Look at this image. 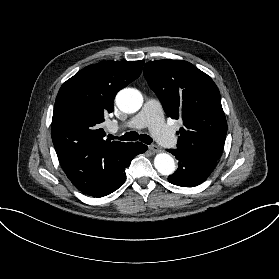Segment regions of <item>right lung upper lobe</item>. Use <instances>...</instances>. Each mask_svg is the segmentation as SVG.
<instances>
[{"label":"right lung upper lobe","instance_id":"obj_1","mask_svg":"<svg viewBox=\"0 0 279 279\" xmlns=\"http://www.w3.org/2000/svg\"><path fill=\"white\" fill-rule=\"evenodd\" d=\"M144 61L89 65L60 88L52 117V141L68 179L83 194H97L119 171L134 143L106 140L100 124L113 111L116 93L137 79Z\"/></svg>","mask_w":279,"mask_h":279}]
</instances>
